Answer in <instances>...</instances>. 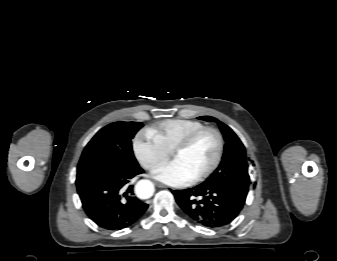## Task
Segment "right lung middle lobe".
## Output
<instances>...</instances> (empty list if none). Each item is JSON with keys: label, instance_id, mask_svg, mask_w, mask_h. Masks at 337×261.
Listing matches in <instances>:
<instances>
[{"label": "right lung middle lobe", "instance_id": "obj_1", "mask_svg": "<svg viewBox=\"0 0 337 261\" xmlns=\"http://www.w3.org/2000/svg\"><path fill=\"white\" fill-rule=\"evenodd\" d=\"M142 126L141 122H115L99 130L82 153L77 167L76 184L139 166L131 140Z\"/></svg>", "mask_w": 337, "mask_h": 261}]
</instances>
